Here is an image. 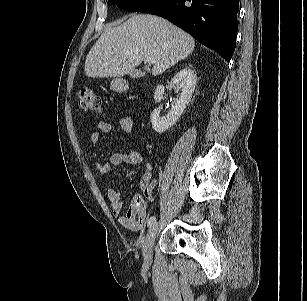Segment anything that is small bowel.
<instances>
[{"label": "small bowel", "mask_w": 307, "mask_h": 301, "mask_svg": "<svg viewBox=\"0 0 307 301\" xmlns=\"http://www.w3.org/2000/svg\"><path fill=\"white\" fill-rule=\"evenodd\" d=\"M119 127L124 132H132L134 121L130 115H123L118 120ZM111 124L106 121H99L96 130L93 131L89 140L93 147H97L101 142V134H107L111 131ZM90 158L95 164L96 170L102 174L110 173L111 168L123 163L128 165L145 164V171L139 181L140 193H135L129 203L126 213H123L124 203L121 192L118 187L107 189V198L110 202L113 215L119 223L132 232H139L143 229L147 221L146 203L154 201L153 190L156 181L152 177L151 164L147 162L138 148L113 153L107 161L98 160L94 150L90 151Z\"/></svg>", "instance_id": "small-bowel-1"}]
</instances>
